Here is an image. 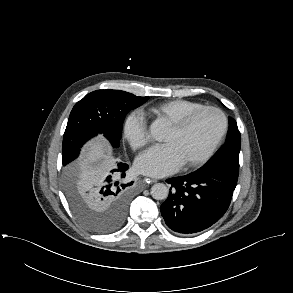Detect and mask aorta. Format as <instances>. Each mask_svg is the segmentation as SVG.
<instances>
[{"label":"aorta","mask_w":293,"mask_h":293,"mask_svg":"<svg viewBox=\"0 0 293 293\" xmlns=\"http://www.w3.org/2000/svg\"><path fill=\"white\" fill-rule=\"evenodd\" d=\"M150 133L153 138L159 140L163 134V125L159 121H154L150 125ZM169 190L163 183H156L151 188V195L156 200H164L168 197Z\"/></svg>","instance_id":"aorta-1"}]
</instances>
